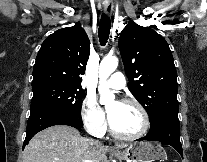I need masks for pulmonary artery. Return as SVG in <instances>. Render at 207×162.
Instances as JSON below:
<instances>
[{
    "instance_id": "pulmonary-artery-1",
    "label": "pulmonary artery",
    "mask_w": 207,
    "mask_h": 162,
    "mask_svg": "<svg viewBox=\"0 0 207 162\" xmlns=\"http://www.w3.org/2000/svg\"><path fill=\"white\" fill-rule=\"evenodd\" d=\"M105 84L111 89L121 90L125 86L124 75L120 72H115L109 77Z\"/></svg>"
}]
</instances>
